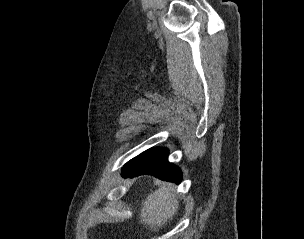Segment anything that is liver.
<instances>
[{
    "label": "liver",
    "instance_id": "6515ba94",
    "mask_svg": "<svg viewBox=\"0 0 304 239\" xmlns=\"http://www.w3.org/2000/svg\"><path fill=\"white\" fill-rule=\"evenodd\" d=\"M170 183H163L155 192L149 194L140 209V223L150 230L157 231L177 213L179 202Z\"/></svg>",
    "mask_w": 304,
    "mask_h": 239
}]
</instances>
